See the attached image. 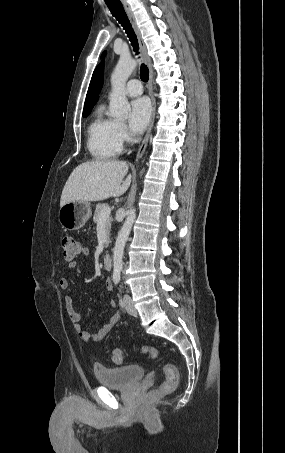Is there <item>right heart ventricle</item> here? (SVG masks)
<instances>
[{
    "instance_id": "e07e8e85",
    "label": "right heart ventricle",
    "mask_w": 285,
    "mask_h": 453,
    "mask_svg": "<svg viewBox=\"0 0 285 453\" xmlns=\"http://www.w3.org/2000/svg\"><path fill=\"white\" fill-rule=\"evenodd\" d=\"M87 146L91 155L100 160L114 158L121 152L118 123L105 115L103 106L95 111L89 124Z\"/></svg>"
}]
</instances>
